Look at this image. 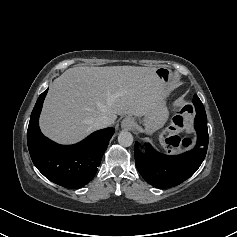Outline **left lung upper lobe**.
I'll list each match as a JSON object with an SVG mask.
<instances>
[{
	"instance_id": "obj_1",
	"label": "left lung upper lobe",
	"mask_w": 237,
	"mask_h": 237,
	"mask_svg": "<svg viewBox=\"0 0 237 237\" xmlns=\"http://www.w3.org/2000/svg\"><path fill=\"white\" fill-rule=\"evenodd\" d=\"M193 103L196 110V115L206 116L204 106L197 95H194Z\"/></svg>"
}]
</instances>
